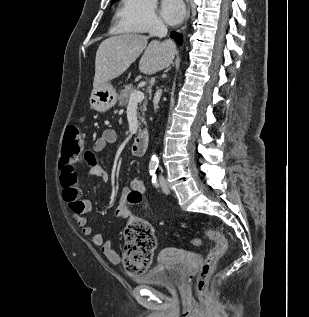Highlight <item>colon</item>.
<instances>
[{
	"mask_svg": "<svg viewBox=\"0 0 309 317\" xmlns=\"http://www.w3.org/2000/svg\"><path fill=\"white\" fill-rule=\"evenodd\" d=\"M82 151L81 133L77 126L70 125L66 128L63 140V148L60 158L61 170L80 156ZM65 181L64 177H61ZM129 200L138 204L142 201V195L131 192ZM204 235L213 243L209 250L197 277L196 290L200 300H206L208 296V283L214 272L218 260L227 250V240L223 234L215 230H205ZM124 248L122 252L123 264L126 270L133 275L145 272L151 265L153 253L156 248V237L152 225L141 219L132 220L124 231ZM194 246H199L201 240H192Z\"/></svg>",
	"mask_w": 309,
	"mask_h": 317,
	"instance_id": "colon-1",
	"label": "colon"
}]
</instances>
